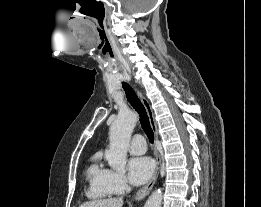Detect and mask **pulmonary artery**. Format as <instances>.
Instances as JSON below:
<instances>
[{
  "label": "pulmonary artery",
  "mask_w": 261,
  "mask_h": 207,
  "mask_svg": "<svg viewBox=\"0 0 261 207\" xmlns=\"http://www.w3.org/2000/svg\"><path fill=\"white\" fill-rule=\"evenodd\" d=\"M129 151L134 155H141L146 151V142L142 135L136 134L131 140Z\"/></svg>",
  "instance_id": "e3ab8cb5"
}]
</instances>
